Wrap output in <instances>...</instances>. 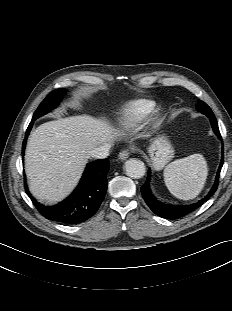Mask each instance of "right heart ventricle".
<instances>
[{
  "label": "right heart ventricle",
  "instance_id": "e07e8e85",
  "mask_svg": "<svg viewBox=\"0 0 232 311\" xmlns=\"http://www.w3.org/2000/svg\"><path fill=\"white\" fill-rule=\"evenodd\" d=\"M156 103L149 99H137L126 104L120 111L116 123L120 128L137 126L154 108Z\"/></svg>",
  "mask_w": 232,
  "mask_h": 311
}]
</instances>
